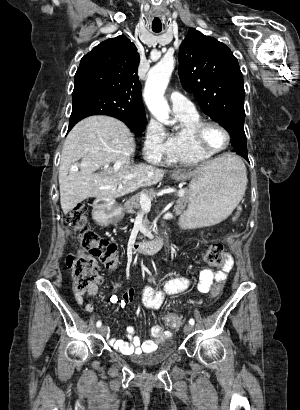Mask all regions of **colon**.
Returning <instances> with one entry per match:
<instances>
[{
    "label": "colon",
    "mask_w": 300,
    "mask_h": 410,
    "mask_svg": "<svg viewBox=\"0 0 300 410\" xmlns=\"http://www.w3.org/2000/svg\"><path fill=\"white\" fill-rule=\"evenodd\" d=\"M87 206L85 203L78 204L66 217V224L78 234L81 245L87 249V253L71 254L67 257V267L71 271V278L77 290L88 287L98 276L97 259L107 269H115L119 264V257L115 244L101 237L87 224ZM224 246L215 243L209 246L203 259L214 265L221 264L224 257ZM223 289V283L219 282L212 288L211 294L218 295ZM170 327H178L181 318L175 313H168L165 318Z\"/></svg>",
    "instance_id": "colon-1"
}]
</instances>
